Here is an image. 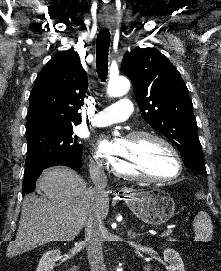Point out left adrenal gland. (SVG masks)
<instances>
[{
    "label": "left adrenal gland",
    "mask_w": 221,
    "mask_h": 271,
    "mask_svg": "<svg viewBox=\"0 0 221 271\" xmlns=\"http://www.w3.org/2000/svg\"><path fill=\"white\" fill-rule=\"evenodd\" d=\"M128 235L129 237H135V235H141V233H136V231H132V229H129Z\"/></svg>",
    "instance_id": "1"
}]
</instances>
